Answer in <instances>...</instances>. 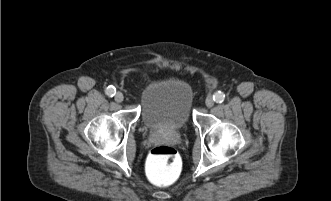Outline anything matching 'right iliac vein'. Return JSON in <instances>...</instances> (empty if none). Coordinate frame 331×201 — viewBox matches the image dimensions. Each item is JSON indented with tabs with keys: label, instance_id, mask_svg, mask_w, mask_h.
Wrapping results in <instances>:
<instances>
[{
	"label": "right iliac vein",
	"instance_id": "obj_1",
	"mask_svg": "<svg viewBox=\"0 0 331 201\" xmlns=\"http://www.w3.org/2000/svg\"><path fill=\"white\" fill-rule=\"evenodd\" d=\"M124 100V95L122 92L118 91L115 95L116 102H122Z\"/></svg>",
	"mask_w": 331,
	"mask_h": 201
}]
</instances>
